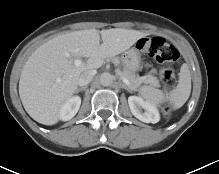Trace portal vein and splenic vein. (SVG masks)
Instances as JSON below:
<instances>
[{
    "label": "portal vein and splenic vein",
    "instance_id": "18ae733b",
    "mask_svg": "<svg viewBox=\"0 0 219 174\" xmlns=\"http://www.w3.org/2000/svg\"><path fill=\"white\" fill-rule=\"evenodd\" d=\"M67 57H70V55L67 54ZM74 64L77 65V66H79V65L82 64V61H81L80 59H75V60H74ZM123 82H124L125 84H127V85L130 84L129 81H128L127 79H125V78L123 79Z\"/></svg>",
    "mask_w": 219,
    "mask_h": 174
}]
</instances>
